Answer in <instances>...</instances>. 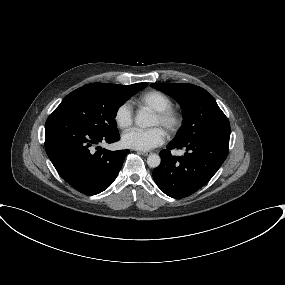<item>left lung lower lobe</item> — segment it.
Returning <instances> with one entry per match:
<instances>
[{"label": "left lung lower lobe", "mask_w": 285, "mask_h": 285, "mask_svg": "<svg viewBox=\"0 0 285 285\" xmlns=\"http://www.w3.org/2000/svg\"><path fill=\"white\" fill-rule=\"evenodd\" d=\"M185 149L183 156L170 150ZM229 141L193 139L187 143L171 142L160 152L161 164L153 171L157 186L173 198L187 197L203 187L217 172L228 155Z\"/></svg>", "instance_id": "1"}]
</instances>
